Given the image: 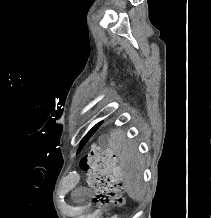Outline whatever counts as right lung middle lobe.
Segmentation results:
<instances>
[{"mask_svg":"<svg viewBox=\"0 0 211 218\" xmlns=\"http://www.w3.org/2000/svg\"><path fill=\"white\" fill-rule=\"evenodd\" d=\"M101 123L97 124L91 131L90 133L94 132L99 126H100Z\"/></svg>","mask_w":211,"mask_h":218,"instance_id":"right-lung-middle-lobe-1","label":"right lung middle lobe"}]
</instances>
